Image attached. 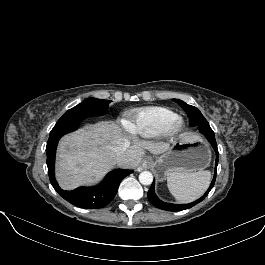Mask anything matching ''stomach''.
<instances>
[{"label":"stomach","mask_w":265,"mask_h":265,"mask_svg":"<svg viewBox=\"0 0 265 265\" xmlns=\"http://www.w3.org/2000/svg\"><path fill=\"white\" fill-rule=\"evenodd\" d=\"M210 160L211 151L204 140L184 138L159 158L156 171L160 176H167L170 172H196L205 169Z\"/></svg>","instance_id":"stomach-1"}]
</instances>
